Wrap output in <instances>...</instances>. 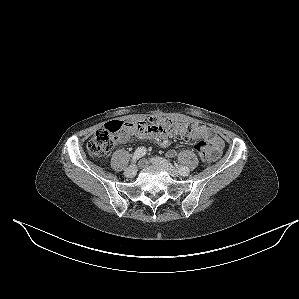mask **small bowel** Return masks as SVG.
<instances>
[{
    "label": "small bowel",
    "mask_w": 299,
    "mask_h": 299,
    "mask_svg": "<svg viewBox=\"0 0 299 299\" xmlns=\"http://www.w3.org/2000/svg\"><path fill=\"white\" fill-rule=\"evenodd\" d=\"M196 129L190 136V139L193 141L205 140L207 143V151L209 155L210 161L216 160L223 149L224 143L220 136H218L215 132L209 129L204 124H196ZM131 134L138 138H149L153 139L156 143H158L161 147H166L169 144V141L166 138L165 133L157 131V130H139L137 128H131L128 130ZM129 138V135L126 133L119 142H126ZM176 155L174 150H170L167 152V156L172 158Z\"/></svg>",
    "instance_id": "obj_1"
}]
</instances>
